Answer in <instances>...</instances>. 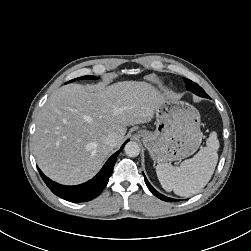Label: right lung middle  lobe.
<instances>
[{
	"mask_svg": "<svg viewBox=\"0 0 251 251\" xmlns=\"http://www.w3.org/2000/svg\"><path fill=\"white\" fill-rule=\"evenodd\" d=\"M78 80L79 79H97L95 76H84V77H80V78H77ZM74 81V80H72Z\"/></svg>",
	"mask_w": 251,
	"mask_h": 251,
	"instance_id": "right-lung-middle-lobe-1",
	"label": "right lung middle lobe"
}]
</instances>
